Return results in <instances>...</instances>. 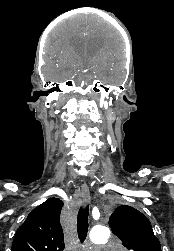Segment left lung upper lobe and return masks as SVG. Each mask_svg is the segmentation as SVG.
<instances>
[{
	"label": "left lung upper lobe",
	"mask_w": 174,
	"mask_h": 251,
	"mask_svg": "<svg viewBox=\"0 0 174 251\" xmlns=\"http://www.w3.org/2000/svg\"><path fill=\"white\" fill-rule=\"evenodd\" d=\"M113 233L130 251H161L150 221L137 209L122 205L109 220Z\"/></svg>",
	"instance_id": "1"
}]
</instances>
